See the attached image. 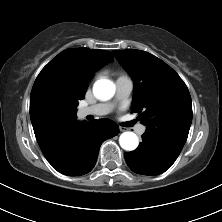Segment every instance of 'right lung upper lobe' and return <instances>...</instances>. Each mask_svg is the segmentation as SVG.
I'll return each instance as SVG.
<instances>
[{
    "label": "right lung upper lobe",
    "instance_id": "cb5924a9",
    "mask_svg": "<svg viewBox=\"0 0 222 222\" xmlns=\"http://www.w3.org/2000/svg\"><path fill=\"white\" fill-rule=\"evenodd\" d=\"M113 61L109 51L72 48L59 53L39 73L30 95V117L41 150L58 133L76 125V106L84 98L89 80Z\"/></svg>",
    "mask_w": 222,
    "mask_h": 222
}]
</instances>
